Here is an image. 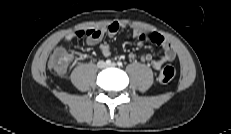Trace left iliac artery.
Returning a JSON list of instances; mask_svg holds the SVG:
<instances>
[{
    "mask_svg": "<svg viewBox=\"0 0 231 134\" xmlns=\"http://www.w3.org/2000/svg\"><path fill=\"white\" fill-rule=\"evenodd\" d=\"M117 65L121 67L123 65V63L119 61V62H117Z\"/></svg>",
    "mask_w": 231,
    "mask_h": 134,
    "instance_id": "1",
    "label": "left iliac artery"
}]
</instances>
